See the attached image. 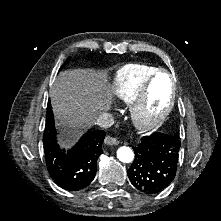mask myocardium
<instances>
[{"mask_svg":"<svg viewBox=\"0 0 221 221\" xmlns=\"http://www.w3.org/2000/svg\"><path fill=\"white\" fill-rule=\"evenodd\" d=\"M161 74H166L169 77L170 82H171V92H170L169 102L167 106L165 107V109L157 116L146 117L144 115V110L149 100L151 88L156 78ZM175 97H176V87H175V81H174L173 75L166 69L157 70L151 76L148 82L142 87L136 100L133 103L132 121L135 127L144 132L157 129L166 121L169 114L171 113L175 104Z\"/></svg>","mask_w":221,"mask_h":221,"instance_id":"obj_1","label":"myocardium"}]
</instances>
